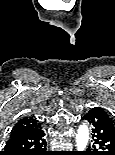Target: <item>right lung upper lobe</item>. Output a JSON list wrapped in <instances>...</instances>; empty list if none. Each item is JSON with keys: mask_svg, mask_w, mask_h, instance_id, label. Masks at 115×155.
Masks as SVG:
<instances>
[{"mask_svg": "<svg viewBox=\"0 0 115 155\" xmlns=\"http://www.w3.org/2000/svg\"><path fill=\"white\" fill-rule=\"evenodd\" d=\"M40 128H41V125L38 122V120L34 119L33 117H25L15 124L11 132L10 138L27 134V133L36 131Z\"/></svg>", "mask_w": 115, "mask_h": 155, "instance_id": "obj_1", "label": "right lung upper lobe"}]
</instances>
